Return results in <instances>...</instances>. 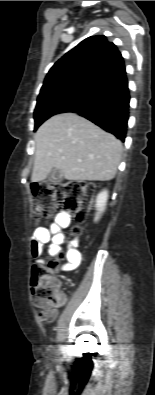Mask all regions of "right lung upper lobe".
<instances>
[{"label":"right lung upper lobe","instance_id":"right-lung-upper-lobe-1","mask_svg":"<svg viewBox=\"0 0 155 395\" xmlns=\"http://www.w3.org/2000/svg\"><path fill=\"white\" fill-rule=\"evenodd\" d=\"M123 72L125 64L117 46L104 35L91 36L53 65L41 89L70 81H88L102 85L109 78Z\"/></svg>","mask_w":155,"mask_h":395}]
</instances>
